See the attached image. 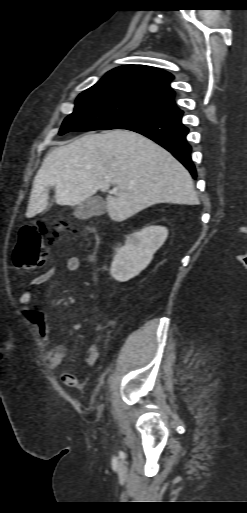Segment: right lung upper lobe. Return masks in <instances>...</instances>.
Returning <instances> with one entry per match:
<instances>
[{
    "instance_id": "1",
    "label": "right lung upper lobe",
    "mask_w": 247,
    "mask_h": 513,
    "mask_svg": "<svg viewBox=\"0 0 247 513\" xmlns=\"http://www.w3.org/2000/svg\"><path fill=\"white\" fill-rule=\"evenodd\" d=\"M173 78L169 72L158 68L125 65L109 71L89 89L103 87L136 93L154 104L171 107L175 111L178 110L173 100L175 93L170 87Z\"/></svg>"
}]
</instances>
